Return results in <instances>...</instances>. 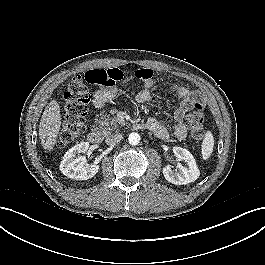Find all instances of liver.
Masks as SVG:
<instances>
[{
	"label": "liver",
	"instance_id": "1",
	"mask_svg": "<svg viewBox=\"0 0 265 265\" xmlns=\"http://www.w3.org/2000/svg\"><path fill=\"white\" fill-rule=\"evenodd\" d=\"M61 128L60 107L56 100H51L41 117L39 138L45 150L51 151L57 143Z\"/></svg>",
	"mask_w": 265,
	"mask_h": 265
}]
</instances>
